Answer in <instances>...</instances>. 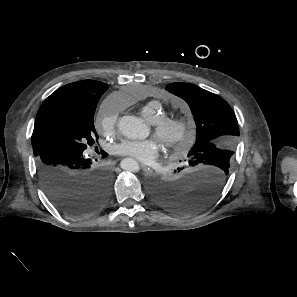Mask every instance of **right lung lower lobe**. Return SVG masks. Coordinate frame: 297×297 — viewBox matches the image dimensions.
Segmentation results:
<instances>
[{"mask_svg":"<svg viewBox=\"0 0 297 297\" xmlns=\"http://www.w3.org/2000/svg\"><path fill=\"white\" fill-rule=\"evenodd\" d=\"M91 159L66 148H47L36 154L41 185L50 201L63 213L91 214L105 204L111 179L104 168H93Z\"/></svg>","mask_w":297,"mask_h":297,"instance_id":"obj_1","label":"right lung lower lobe"}]
</instances>
